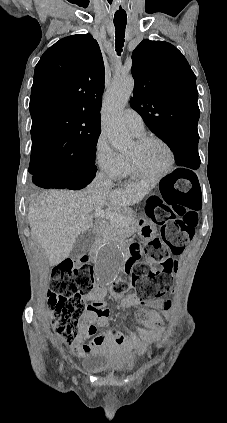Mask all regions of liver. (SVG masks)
<instances>
[{"label": "liver", "instance_id": "6515ba94", "mask_svg": "<svg viewBox=\"0 0 227 423\" xmlns=\"http://www.w3.org/2000/svg\"><path fill=\"white\" fill-rule=\"evenodd\" d=\"M153 188L151 182H137L113 190L92 182L81 192L49 190L29 204L31 233L43 247L50 265H57L69 257L76 237L92 227L97 208L135 206Z\"/></svg>", "mask_w": 227, "mask_h": 423}]
</instances>
